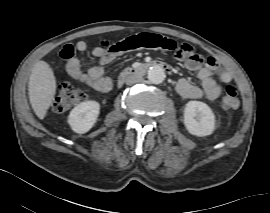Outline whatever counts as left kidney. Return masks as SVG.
I'll return each instance as SVG.
<instances>
[{
    "label": "left kidney",
    "mask_w": 270,
    "mask_h": 213,
    "mask_svg": "<svg viewBox=\"0 0 270 213\" xmlns=\"http://www.w3.org/2000/svg\"><path fill=\"white\" fill-rule=\"evenodd\" d=\"M184 125L192 135L208 136L215 129V115L207 104L189 101L184 109Z\"/></svg>",
    "instance_id": "5707ae66"
}]
</instances>
